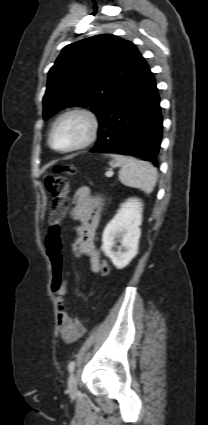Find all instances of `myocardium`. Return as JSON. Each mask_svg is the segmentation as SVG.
Returning <instances> with one entry per match:
<instances>
[{
  "instance_id": "myocardium-1",
  "label": "myocardium",
  "mask_w": 208,
  "mask_h": 425,
  "mask_svg": "<svg viewBox=\"0 0 208 425\" xmlns=\"http://www.w3.org/2000/svg\"><path fill=\"white\" fill-rule=\"evenodd\" d=\"M74 116L81 117L86 121L88 128H87V133L85 137L79 143L72 145L70 147H67V148L55 147L53 144V137L58 125L63 120L69 117H74ZM99 131H100V121L95 113L85 108H72L61 113L56 118V120L54 121L51 127L48 142L50 147L58 152H62V153L74 152V151L85 149L89 147L90 145H92L97 140L99 136Z\"/></svg>"
}]
</instances>
